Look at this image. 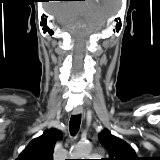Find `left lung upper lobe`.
Returning <instances> with one entry per match:
<instances>
[{"instance_id":"left-lung-upper-lobe-1","label":"left lung upper lobe","mask_w":160,"mask_h":160,"mask_svg":"<svg viewBox=\"0 0 160 160\" xmlns=\"http://www.w3.org/2000/svg\"><path fill=\"white\" fill-rule=\"evenodd\" d=\"M99 141L109 154V158L103 160H140L128 143L113 136L108 129L99 134Z\"/></svg>"}]
</instances>
